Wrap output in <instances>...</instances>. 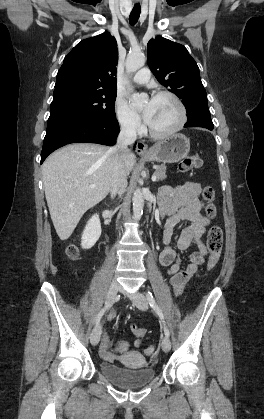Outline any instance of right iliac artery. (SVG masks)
I'll use <instances>...</instances> for the list:
<instances>
[{
	"label": "right iliac artery",
	"instance_id": "1",
	"mask_svg": "<svg viewBox=\"0 0 264 419\" xmlns=\"http://www.w3.org/2000/svg\"><path fill=\"white\" fill-rule=\"evenodd\" d=\"M108 307L106 306V307H104L100 312H99V314H98V316H97V318H96V321H95V324L96 325H98L99 324V322H100V319L102 318V316H103V314L105 313V311H106V309H107Z\"/></svg>",
	"mask_w": 264,
	"mask_h": 419
}]
</instances>
